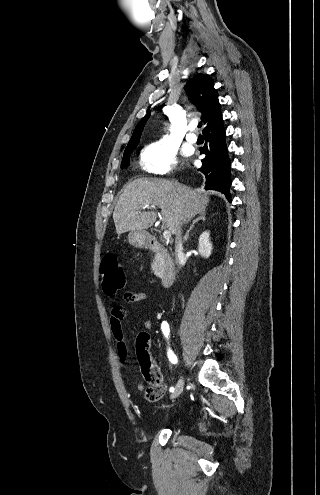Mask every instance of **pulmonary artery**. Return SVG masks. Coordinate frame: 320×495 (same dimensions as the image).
I'll list each match as a JSON object with an SVG mask.
<instances>
[{
  "mask_svg": "<svg viewBox=\"0 0 320 495\" xmlns=\"http://www.w3.org/2000/svg\"><path fill=\"white\" fill-rule=\"evenodd\" d=\"M194 129V126H190V131H193ZM197 136L193 133V132H189L187 135H186V140L190 143H195L197 141Z\"/></svg>",
  "mask_w": 320,
  "mask_h": 495,
  "instance_id": "1",
  "label": "pulmonary artery"
}]
</instances>
